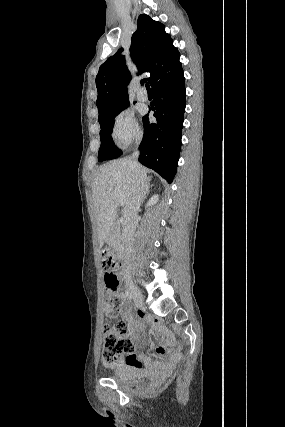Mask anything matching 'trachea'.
Listing matches in <instances>:
<instances>
[{
  "label": "trachea",
  "mask_w": 285,
  "mask_h": 427,
  "mask_svg": "<svg viewBox=\"0 0 285 427\" xmlns=\"http://www.w3.org/2000/svg\"><path fill=\"white\" fill-rule=\"evenodd\" d=\"M146 89H147V91H151V88H150V85L148 82L146 83Z\"/></svg>",
  "instance_id": "1"
}]
</instances>
